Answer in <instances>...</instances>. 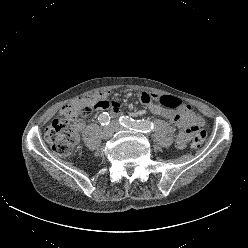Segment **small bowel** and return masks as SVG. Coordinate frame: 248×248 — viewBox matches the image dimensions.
Segmentation results:
<instances>
[{
	"label": "small bowel",
	"mask_w": 248,
	"mask_h": 248,
	"mask_svg": "<svg viewBox=\"0 0 248 248\" xmlns=\"http://www.w3.org/2000/svg\"><path fill=\"white\" fill-rule=\"evenodd\" d=\"M154 96L149 93H141L139 99L147 109L155 115L168 119L172 124L181 128L176 138V146L179 149H184L194 133V128L200 123V119L188 107L182 105L179 110L165 108L158 103L154 102ZM109 92H99L89 96V98L97 104L96 109L100 111H108L112 115H116L119 111V104L116 100H109ZM82 100L74 102L70 105L63 107L60 110V115L65 116L69 113L76 112ZM83 125L79 121V127Z\"/></svg>",
	"instance_id": "1"
}]
</instances>
